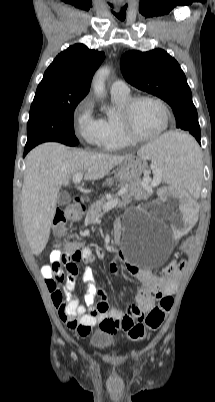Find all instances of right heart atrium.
<instances>
[{"label":"right heart atrium","mask_w":215,"mask_h":402,"mask_svg":"<svg viewBox=\"0 0 215 402\" xmlns=\"http://www.w3.org/2000/svg\"><path fill=\"white\" fill-rule=\"evenodd\" d=\"M74 119L77 136L88 145L100 146L105 133L104 124L102 119L95 117L90 98H85L77 105Z\"/></svg>","instance_id":"1"}]
</instances>
